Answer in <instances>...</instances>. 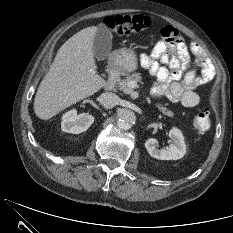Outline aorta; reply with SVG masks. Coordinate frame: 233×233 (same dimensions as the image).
Masks as SVG:
<instances>
[{"label":"aorta","instance_id":"1","mask_svg":"<svg viewBox=\"0 0 233 233\" xmlns=\"http://www.w3.org/2000/svg\"><path fill=\"white\" fill-rule=\"evenodd\" d=\"M117 124L118 127L124 130L131 128L135 122V113L129 109H120L117 113Z\"/></svg>","mask_w":233,"mask_h":233}]
</instances>
